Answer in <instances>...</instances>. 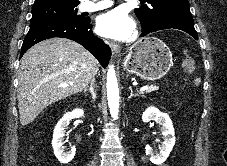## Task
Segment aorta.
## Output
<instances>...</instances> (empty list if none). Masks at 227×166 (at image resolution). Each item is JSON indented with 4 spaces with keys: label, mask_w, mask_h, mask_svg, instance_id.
I'll list each match as a JSON object with an SVG mask.
<instances>
[{
    "label": "aorta",
    "mask_w": 227,
    "mask_h": 166,
    "mask_svg": "<svg viewBox=\"0 0 227 166\" xmlns=\"http://www.w3.org/2000/svg\"><path fill=\"white\" fill-rule=\"evenodd\" d=\"M107 98L111 116L114 120L119 113V88L114 66H109L107 72Z\"/></svg>",
    "instance_id": "obj_1"
}]
</instances>
